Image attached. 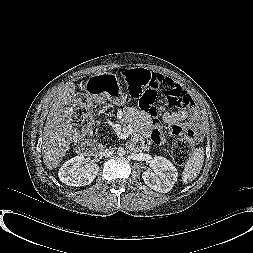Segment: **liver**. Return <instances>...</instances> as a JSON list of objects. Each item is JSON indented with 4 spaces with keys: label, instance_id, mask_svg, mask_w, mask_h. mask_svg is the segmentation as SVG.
I'll list each match as a JSON object with an SVG mask.
<instances>
[{
    "label": "liver",
    "instance_id": "1",
    "mask_svg": "<svg viewBox=\"0 0 253 253\" xmlns=\"http://www.w3.org/2000/svg\"><path fill=\"white\" fill-rule=\"evenodd\" d=\"M75 94V84L69 82L59 88L53 98L52 107L47 116L43 131L42 154L47 169H55L73 139L74 129L70 107Z\"/></svg>",
    "mask_w": 253,
    "mask_h": 253
}]
</instances>
